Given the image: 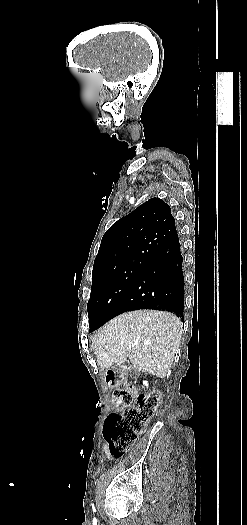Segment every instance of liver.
<instances>
[{
  "mask_svg": "<svg viewBox=\"0 0 247 525\" xmlns=\"http://www.w3.org/2000/svg\"><path fill=\"white\" fill-rule=\"evenodd\" d=\"M182 335V323L168 311H130L111 319L91 341L101 369H110L129 359L132 367L165 379Z\"/></svg>",
  "mask_w": 247,
  "mask_h": 525,
  "instance_id": "obj_1",
  "label": "liver"
}]
</instances>
